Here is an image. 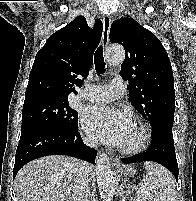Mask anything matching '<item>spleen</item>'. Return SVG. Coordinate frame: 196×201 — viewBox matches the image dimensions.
I'll list each match as a JSON object with an SVG mask.
<instances>
[{
	"instance_id": "spleen-1",
	"label": "spleen",
	"mask_w": 196,
	"mask_h": 201,
	"mask_svg": "<svg viewBox=\"0 0 196 201\" xmlns=\"http://www.w3.org/2000/svg\"><path fill=\"white\" fill-rule=\"evenodd\" d=\"M147 175L139 184L135 201H175V179L162 166L145 162Z\"/></svg>"
}]
</instances>
